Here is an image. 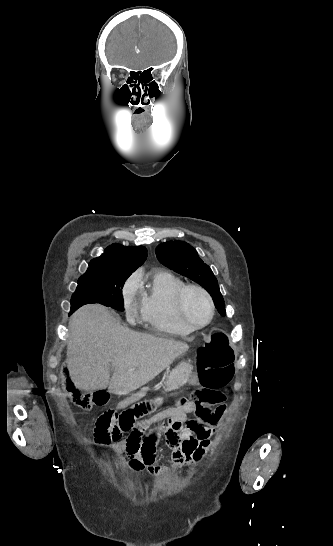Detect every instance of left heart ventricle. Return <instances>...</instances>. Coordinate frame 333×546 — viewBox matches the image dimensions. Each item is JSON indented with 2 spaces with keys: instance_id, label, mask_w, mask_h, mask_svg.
<instances>
[{
  "instance_id": "b2bd125f",
  "label": "left heart ventricle",
  "mask_w": 333,
  "mask_h": 546,
  "mask_svg": "<svg viewBox=\"0 0 333 546\" xmlns=\"http://www.w3.org/2000/svg\"><path fill=\"white\" fill-rule=\"evenodd\" d=\"M186 313L195 324L206 322L210 316V308L206 299L198 292H190L186 298Z\"/></svg>"
}]
</instances>
